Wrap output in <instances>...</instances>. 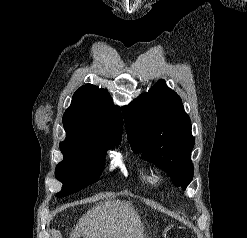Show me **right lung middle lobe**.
I'll list each match as a JSON object with an SVG mask.
<instances>
[{
	"instance_id": "1",
	"label": "right lung middle lobe",
	"mask_w": 247,
	"mask_h": 238,
	"mask_svg": "<svg viewBox=\"0 0 247 238\" xmlns=\"http://www.w3.org/2000/svg\"><path fill=\"white\" fill-rule=\"evenodd\" d=\"M107 148H113V144L92 145L68 140L61 142L63 161L57 165L55 176L63 183V188L56 196H68L96 182L104 164L102 150Z\"/></svg>"
}]
</instances>
